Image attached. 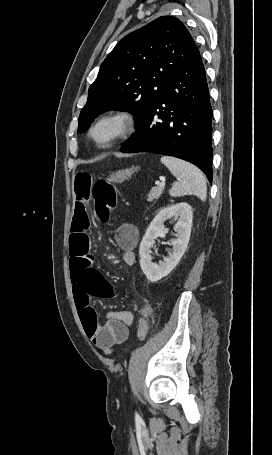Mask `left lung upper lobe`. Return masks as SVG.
I'll return each mask as SVG.
<instances>
[{"label":"left lung upper lobe","mask_w":272,"mask_h":455,"mask_svg":"<svg viewBox=\"0 0 272 455\" xmlns=\"http://www.w3.org/2000/svg\"><path fill=\"white\" fill-rule=\"evenodd\" d=\"M199 50L184 24L162 16L122 38L103 61L80 112L84 132L107 110L128 111L137 126L161 97L169 78Z\"/></svg>","instance_id":"5c2ea615"}]
</instances>
